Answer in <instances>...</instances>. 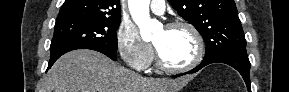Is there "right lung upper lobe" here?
Returning <instances> with one entry per match:
<instances>
[{"mask_svg":"<svg viewBox=\"0 0 289 92\" xmlns=\"http://www.w3.org/2000/svg\"><path fill=\"white\" fill-rule=\"evenodd\" d=\"M76 17L120 19V0H65L57 20Z\"/></svg>","mask_w":289,"mask_h":92,"instance_id":"obj_1","label":"right lung upper lobe"}]
</instances>
